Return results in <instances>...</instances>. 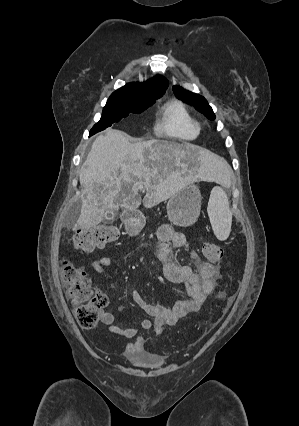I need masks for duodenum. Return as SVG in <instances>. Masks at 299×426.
I'll use <instances>...</instances> for the list:
<instances>
[{"label":"duodenum","instance_id":"obj_1","mask_svg":"<svg viewBox=\"0 0 299 426\" xmlns=\"http://www.w3.org/2000/svg\"><path fill=\"white\" fill-rule=\"evenodd\" d=\"M131 219H132V215H129V216L126 218L127 222H130V221H131Z\"/></svg>","mask_w":299,"mask_h":426}]
</instances>
